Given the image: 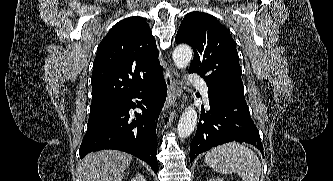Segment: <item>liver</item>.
<instances>
[{
  "label": "liver",
  "instance_id": "1",
  "mask_svg": "<svg viewBox=\"0 0 333 181\" xmlns=\"http://www.w3.org/2000/svg\"><path fill=\"white\" fill-rule=\"evenodd\" d=\"M132 155L116 151L91 152L78 164L80 181H122Z\"/></svg>",
  "mask_w": 333,
  "mask_h": 181
}]
</instances>
